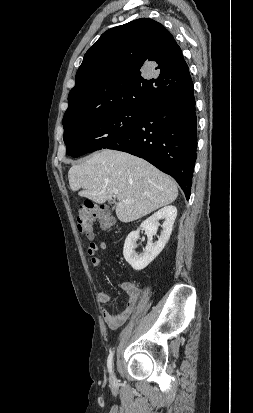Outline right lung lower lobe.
Masks as SVG:
<instances>
[{
  "label": "right lung lower lobe",
  "mask_w": 253,
  "mask_h": 413,
  "mask_svg": "<svg viewBox=\"0 0 253 413\" xmlns=\"http://www.w3.org/2000/svg\"><path fill=\"white\" fill-rule=\"evenodd\" d=\"M193 82L142 108L138 125L107 149L141 157L171 175L190 198L197 158V115Z\"/></svg>",
  "instance_id": "right-lung-lower-lobe-1"
}]
</instances>
